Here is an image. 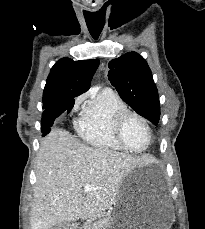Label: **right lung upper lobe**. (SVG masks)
<instances>
[{"label":"right lung upper lobe","instance_id":"1","mask_svg":"<svg viewBox=\"0 0 205 229\" xmlns=\"http://www.w3.org/2000/svg\"><path fill=\"white\" fill-rule=\"evenodd\" d=\"M99 60L62 58L52 67L43 92V106L74 98L90 88Z\"/></svg>","mask_w":205,"mask_h":229}]
</instances>
